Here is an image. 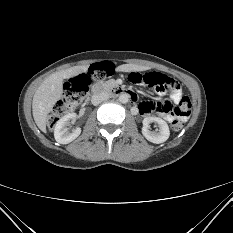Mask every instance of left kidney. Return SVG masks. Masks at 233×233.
I'll return each instance as SVG.
<instances>
[{
	"instance_id": "left-kidney-1",
	"label": "left kidney",
	"mask_w": 233,
	"mask_h": 233,
	"mask_svg": "<svg viewBox=\"0 0 233 233\" xmlns=\"http://www.w3.org/2000/svg\"><path fill=\"white\" fill-rule=\"evenodd\" d=\"M152 122L157 123L159 127L158 132H151L149 130V124ZM142 134L148 141L159 144L165 142L169 138L170 131L168 124L163 119L159 117H146L143 120Z\"/></svg>"
}]
</instances>
